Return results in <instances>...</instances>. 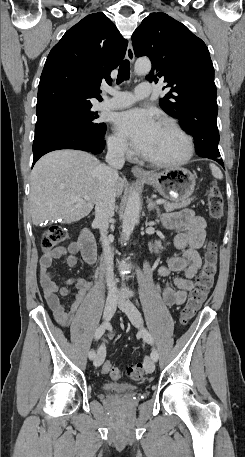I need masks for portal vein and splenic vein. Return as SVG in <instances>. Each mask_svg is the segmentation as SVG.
Here are the masks:
<instances>
[{"mask_svg": "<svg viewBox=\"0 0 245 457\" xmlns=\"http://www.w3.org/2000/svg\"><path fill=\"white\" fill-rule=\"evenodd\" d=\"M72 202H77V204H84L83 198H79V196H71ZM157 204H161V202H165L164 198H158L156 200Z\"/></svg>", "mask_w": 245, "mask_h": 457, "instance_id": "1", "label": "portal vein and splenic vein"}]
</instances>
